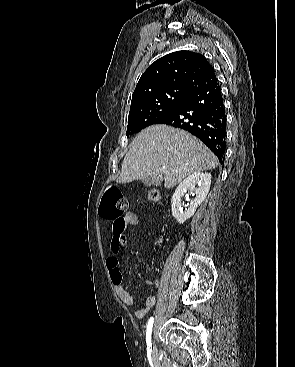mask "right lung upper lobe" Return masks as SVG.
Returning <instances> with one entry per match:
<instances>
[{
	"label": "right lung upper lobe",
	"instance_id": "obj_1",
	"mask_svg": "<svg viewBox=\"0 0 295 367\" xmlns=\"http://www.w3.org/2000/svg\"><path fill=\"white\" fill-rule=\"evenodd\" d=\"M215 80L214 70L203 55L186 50L173 52L156 60L142 74L131 103L168 90L192 94Z\"/></svg>",
	"mask_w": 295,
	"mask_h": 367
}]
</instances>
